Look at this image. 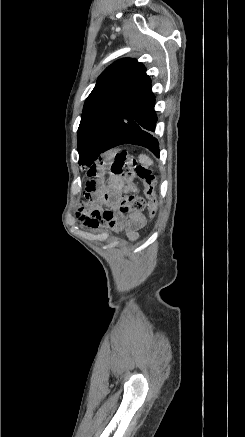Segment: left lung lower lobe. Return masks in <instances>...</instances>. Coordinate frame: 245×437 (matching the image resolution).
<instances>
[{"instance_id":"left-lung-lower-lobe-1","label":"left lung lower lobe","mask_w":245,"mask_h":437,"mask_svg":"<svg viewBox=\"0 0 245 437\" xmlns=\"http://www.w3.org/2000/svg\"><path fill=\"white\" fill-rule=\"evenodd\" d=\"M155 96L150 78L131 100L108 133L100 153L115 146L130 143L148 148L159 157L157 139L152 135L157 122L154 110Z\"/></svg>"}]
</instances>
